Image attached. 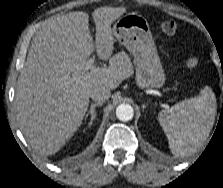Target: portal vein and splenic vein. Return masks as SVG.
Wrapping results in <instances>:
<instances>
[{
  "label": "portal vein and splenic vein",
  "mask_w": 223,
  "mask_h": 188,
  "mask_svg": "<svg viewBox=\"0 0 223 188\" xmlns=\"http://www.w3.org/2000/svg\"><path fill=\"white\" fill-rule=\"evenodd\" d=\"M94 60H95L94 58H90L89 60H87V63H86L87 69H90L93 66Z\"/></svg>",
  "instance_id": "18ae733b"
}]
</instances>
